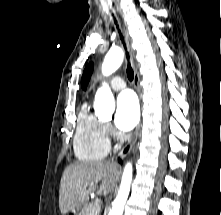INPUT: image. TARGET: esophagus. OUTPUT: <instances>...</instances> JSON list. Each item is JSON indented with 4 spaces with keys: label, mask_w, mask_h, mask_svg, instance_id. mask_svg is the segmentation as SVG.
Listing matches in <instances>:
<instances>
[{
    "label": "esophagus",
    "mask_w": 221,
    "mask_h": 215,
    "mask_svg": "<svg viewBox=\"0 0 221 215\" xmlns=\"http://www.w3.org/2000/svg\"><path fill=\"white\" fill-rule=\"evenodd\" d=\"M117 9H118L119 14L121 15V18H122V26H123L124 36H125L127 47H128L130 57H131V63H132L133 71H134V80H133L134 86H135V89L138 93L139 99L141 100V93H140V86H139V75H138L137 69L134 64V51L132 48V38L130 36L129 27H128L126 20L123 18L120 9L119 8H117ZM140 126H141V123H139V125L136 127V130H135L133 136L129 139V141L121 149V151L119 153L120 158H124L132 149L133 145L135 144V142L137 140Z\"/></svg>",
    "instance_id": "esophagus-1"
}]
</instances>
